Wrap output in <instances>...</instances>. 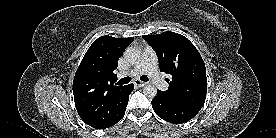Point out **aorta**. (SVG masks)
Returning a JSON list of instances; mask_svg holds the SVG:
<instances>
[{
	"mask_svg": "<svg viewBox=\"0 0 276 138\" xmlns=\"http://www.w3.org/2000/svg\"><path fill=\"white\" fill-rule=\"evenodd\" d=\"M125 60L134 65L141 60V51L135 47H128L124 52ZM143 93L148 98H154L157 95V88L152 84H147L143 88Z\"/></svg>",
	"mask_w": 276,
	"mask_h": 138,
	"instance_id": "1",
	"label": "aorta"
}]
</instances>
